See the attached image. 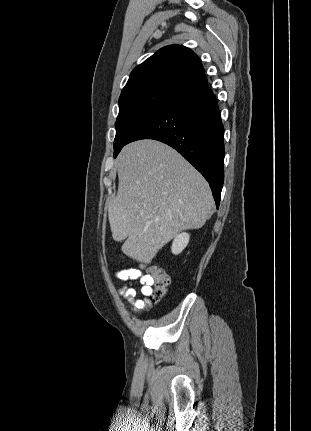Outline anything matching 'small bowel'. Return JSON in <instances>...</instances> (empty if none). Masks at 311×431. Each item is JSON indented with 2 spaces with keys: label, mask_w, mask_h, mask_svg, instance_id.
Listing matches in <instances>:
<instances>
[{
  "label": "small bowel",
  "mask_w": 311,
  "mask_h": 431,
  "mask_svg": "<svg viewBox=\"0 0 311 431\" xmlns=\"http://www.w3.org/2000/svg\"><path fill=\"white\" fill-rule=\"evenodd\" d=\"M114 277L118 281H135L141 283L140 294L133 283L126 284L118 289V293L124 298L126 306L133 314H140L150 305L148 297L151 294L150 277L138 269H123L115 272Z\"/></svg>",
  "instance_id": "small-bowel-1"
}]
</instances>
